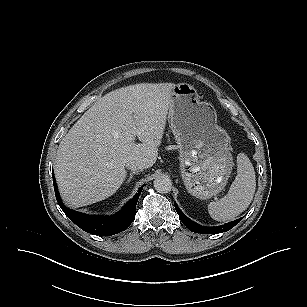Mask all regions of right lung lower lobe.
<instances>
[{
  "label": "right lung lower lobe",
  "mask_w": 307,
  "mask_h": 307,
  "mask_svg": "<svg viewBox=\"0 0 307 307\" xmlns=\"http://www.w3.org/2000/svg\"><path fill=\"white\" fill-rule=\"evenodd\" d=\"M53 175V173H52ZM53 185L55 195L59 206L63 212L82 230L95 235H114L127 229L135 218V210L138 198L142 192L143 186L140 187L138 193L127 202L124 208L114 216H96L88 215L70 210L62 203L57 186L53 177Z\"/></svg>",
  "instance_id": "obj_1"
}]
</instances>
